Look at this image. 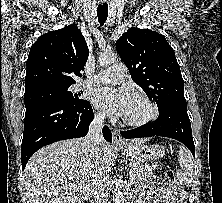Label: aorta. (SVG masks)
I'll list each match as a JSON object with an SVG mask.
<instances>
[{"label": "aorta", "mask_w": 222, "mask_h": 203, "mask_svg": "<svg viewBox=\"0 0 222 203\" xmlns=\"http://www.w3.org/2000/svg\"><path fill=\"white\" fill-rule=\"evenodd\" d=\"M116 61V54L114 53H101L99 57V64L102 67H107ZM124 196L122 186L118 183L113 190V203H123Z\"/></svg>", "instance_id": "obj_1"}]
</instances>
